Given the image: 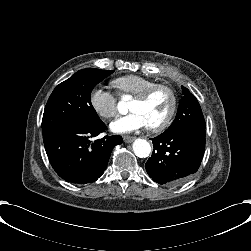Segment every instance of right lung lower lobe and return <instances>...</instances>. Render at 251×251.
<instances>
[{"instance_id":"right-lung-lower-lobe-1","label":"right lung lower lobe","mask_w":251,"mask_h":251,"mask_svg":"<svg viewBox=\"0 0 251 251\" xmlns=\"http://www.w3.org/2000/svg\"><path fill=\"white\" fill-rule=\"evenodd\" d=\"M105 129L103 122L95 126L70 123L43 134L45 150L55 172L74 184L96 181L104 173L114 146L122 143L119 135L89 140Z\"/></svg>"}]
</instances>
